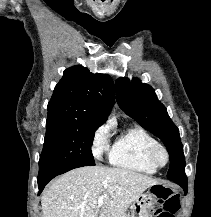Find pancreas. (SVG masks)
I'll use <instances>...</instances> for the list:
<instances>
[{"label":"pancreas","instance_id":"pancreas-1","mask_svg":"<svg viewBox=\"0 0 211 217\" xmlns=\"http://www.w3.org/2000/svg\"><path fill=\"white\" fill-rule=\"evenodd\" d=\"M124 217H130L129 215H125Z\"/></svg>","mask_w":211,"mask_h":217}]
</instances>
